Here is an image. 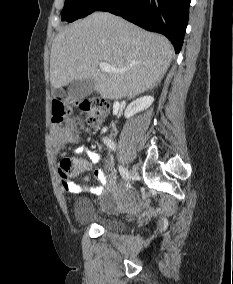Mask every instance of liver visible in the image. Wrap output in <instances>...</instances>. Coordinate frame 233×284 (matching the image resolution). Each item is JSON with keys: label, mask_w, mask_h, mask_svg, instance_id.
<instances>
[{"label": "liver", "mask_w": 233, "mask_h": 284, "mask_svg": "<svg viewBox=\"0 0 233 284\" xmlns=\"http://www.w3.org/2000/svg\"><path fill=\"white\" fill-rule=\"evenodd\" d=\"M173 54L166 37L110 13L95 12L56 35L50 55V82L54 89H60L74 80L91 79L102 98H133L160 83ZM101 62L125 71L101 72Z\"/></svg>", "instance_id": "liver-1"}]
</instances>
